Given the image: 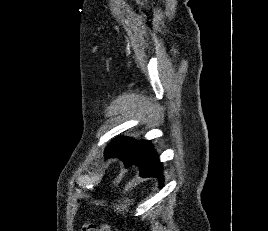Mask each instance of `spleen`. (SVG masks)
<instances>
[{
    "mask_svg": "<svg viewBox=\"0 0 268 231\" xmlns=\"http://www.w3.org/2000/svg\"><path fill=\"white\" fill-rule=\"evenodd\" d=\"M127 201H128V200H126V203H127ZM125 207H127V204L123 206V209H124ZM116 210L120 211V206H118V207L116 208Z\"/></svg>",
    "mask_w": 268,
    "mask_h": 231,
    "instance_id": "1",
    "label": "spleen"
}]
</instances>
